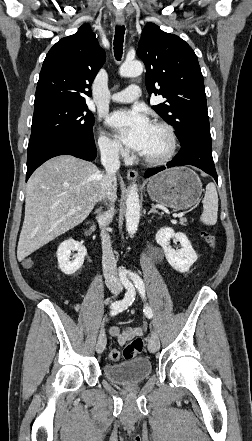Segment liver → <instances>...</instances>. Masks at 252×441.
<instances>
[{
  "label": "liver",
  "instance_id": "1",
  "mask_svg": "<svg viewBox=\"0 0 252 441\" xmlns=\"http://www.w3.org/2000/svg\"><path fill=\"white\" fill-rule=\"evenodd\" d=\"M102 177L96 165L70 155L40 166L27 182L18 260L82 223L98 201Z\"/></svg>",
  "mask_w": 252,
  "mask_h": 441
}]
</instances>
